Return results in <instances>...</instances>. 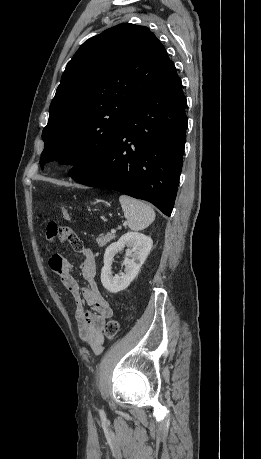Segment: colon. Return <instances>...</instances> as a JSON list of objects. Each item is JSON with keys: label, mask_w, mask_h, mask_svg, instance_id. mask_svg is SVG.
<instances>
[{"label": "colon", "mask_w": 261, "mask_h": 459, "mask_svg": "<svg viewBox=\"0 0 261 459\" xmlns=\"http://www.w3.org/2000/svg\"><path fill=\"white\" fill-rule=\"evenodd\" d=\"M60 214L61 217L65 220H68L70 218L68 210L65 207H62L60 209ZM51 224H53L54 226L56 225L53 222ZM119 329L120 323L115 319H111L104 326V335L108 340H113L117 336Z\"/></svg>", "instance_id": "5ec220e1"}]
</instances>
